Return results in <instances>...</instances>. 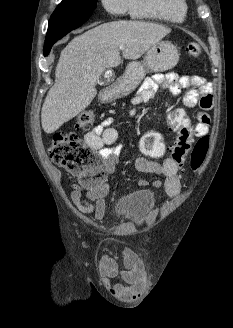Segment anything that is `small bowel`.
Here are the masks:
<instances>
[{
    "instance_id": "obj_1",
    "label": "small bowel",
    "mask_w": 233,
    "mask_h": 328,
    "mask_svg": "<svg viewBox=\"0 0 233 328\" xmlns=\"http://www.w3.org/2000/svg\"><path fill=\"white\" fill-rule=\"evenodd\" d=\"M162 87L168 89L172 95H178L181 90L187 89L184 95V104L188 107L200 106L196 115V123L193 125L195 137L207 136L210 126V117L207 113L213 106L212 85L204 77L196 75L179 76L176 73L155 74L142 84L134 103H145L154 99L157 90ZM135 115V111H131ZM113 119L105 118L100 124L89 131L84 141L91 149L98 151L104 159L105 172H114L120 148L115 145L118 139L117 130L112 127ZM136 168L145 173L156 174L164 178V181H154V187H163L167 195L176 197L181 190L180 169L168 156L162 162H156L145 157L136 160ZM140 186H146V180H139ZM108 193V185L105 182L98 183L86 189L83 194L75 189L71 198L75 206L83 213L94 212L100 220L105 212V197ZM124 269L119 270L118 264L112 257L103 255L100 259V269L103 274V285L118 299L131 301L139 298L146 286V273L141 259L130 250L122 251ZM119 277L123 283L115 279Z\"/></svg>"
}]
</instances>
